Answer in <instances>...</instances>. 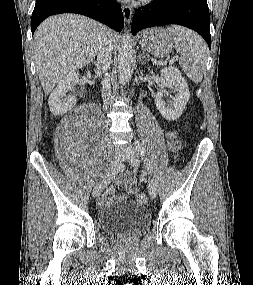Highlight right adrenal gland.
<instances>
[{
  "label": "right adrenal gland",
  "instance_id": "2a0ac1e0",
  "mask_svg": "<svg viewBox=\"0 0 253 285\" xmlns=\"http://www.w3.org/2000/svg\"><path fill=\"white\" fill-rule=\"evenodd\" d=\"M92 62H94V64L97 66V63L95 61L92 60Z\"/></svg>",
  "mask_w": 253,
  "mask_h": 285
}]
</instances>
